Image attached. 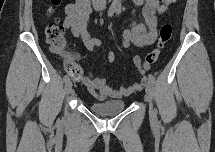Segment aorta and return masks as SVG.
Wrapping results in <instances>:
<instances>
[{"label": "aorta", "mask_w": 215, "mask_h": 152, "mask_svg": "<svg viewBox=\"0 0 215 152\" xmlns=\"http://www.w3.org/2000/svg\"><path fill=\"white\" fill-rule=\"evenodd\" d=\"M111 7L112 8H120L121 7V1L120 0H113Z\"/></svg>", "instance_id": "aorta-1"}]
</instances>
